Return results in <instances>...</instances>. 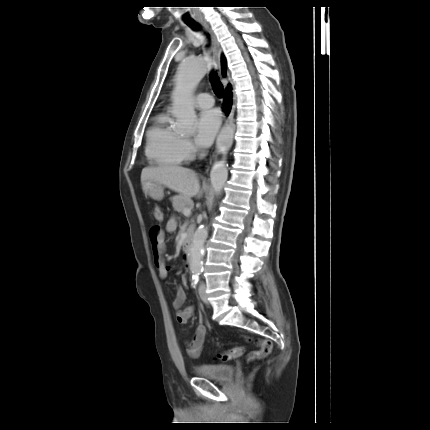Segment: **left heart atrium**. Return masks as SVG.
Returning <instances> with one entry per match:
<instances>
[{
  "label": "left heart atrium",
  "mask_w": 430,
  "mask_h": 430,
  "mask_svg": "<svg viewBox=\"0 0 430 430\" xmlns=\"http://www.w3.org/2000/svg\"><path fill=\"white\" fill-rule=\"evenodd\" d=\"M220 126V114L217 110L211 109L200 113L196 121L195 140L202 147L209 146Z\"/></svg>",
  "instance_id": "obj_1"
}]
</instances>
